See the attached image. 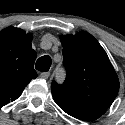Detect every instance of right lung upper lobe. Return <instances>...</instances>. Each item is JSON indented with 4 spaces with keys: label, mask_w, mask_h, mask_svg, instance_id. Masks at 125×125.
Returning <instances> with one entry per match:
<instances>
[{
    "label": "right lung upper lobe",
    "mask_w": 125,
    "mask_h": 125,
    "mask_svg": "<svg viewBox=\"0 0 125 125\" xmlns=\"http://www.w3.org/2000/svg\"><path fill=\"white\" fill-rule=\"evenodd\" d=\"M32 39L31 34L19 28L0 31V107L16 100L31 79L37 77Z\"/></svg>",
    "instance_id": "obj_1"
}]
</instances>
